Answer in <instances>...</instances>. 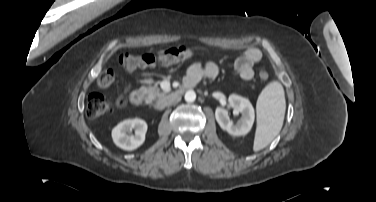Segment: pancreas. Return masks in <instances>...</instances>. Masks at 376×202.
I'll return each mask as SVG.
<instances>
[{
  "instance_id": "pancreas-1",
  "label": "pancreas",
  "mask_w": 376,
  "mask_h": 202,
  "mask_svg": "<svg viewBox=\"0 0 376 202\" xmlns=\"http://www.w3.org/2000/svg\"><path fill=\"white\" fill-rule=\"evenodd\" d=\"M147 94V100L152 102L156 99H162L165 97L166 92L160 91L157 86L143 88L142 89Z\"/></svg>"
}]
</instances>
